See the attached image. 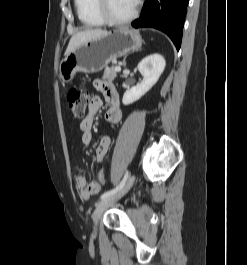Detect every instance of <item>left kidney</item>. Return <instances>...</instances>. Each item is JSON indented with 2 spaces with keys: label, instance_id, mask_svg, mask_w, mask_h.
I'll list each match as a JSON object with an SVG mask.
<instances>
[{
  "label": "left kidney",
  "instance_id": "1",
  "mask_svg": "<svg viewBox=\"0 0 247 265\" xmlns=\"http://www.w3.org/2000/svg\"><path fill=\"white\" fill-rule=\"evenodd\" d=\"M165 65V59L160 54L156 53L145 57L137 66L143 76V81L126 90L122 98V103L129 105L147 93L158 81L165 69Z\"/></svg>",
  "mask_w": 247,
  "mask_h": 265
}]
</instances>
